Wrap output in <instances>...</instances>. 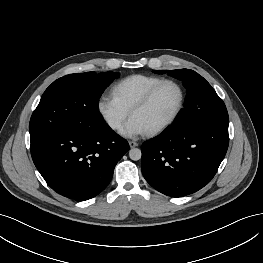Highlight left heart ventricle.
I'll return each mask as SVG.
<instances>
[{"mask_svg": "<svg viewBox=\"0 0 263 263\" xmlns=\"http://www.w3.org/2000/svg\"><path fill=\"white\" fill-rule=\"evenodd\" d=\"M180 93L173 84L163 85L151 101L132 117L136 118L149 131L166 121L175 111L179 103Z\"/></svg>", "mask_w": 263, "mask_h": 263, "instance_id": "b2bd125f", "label": "left heart ventricle"}]
</instances>
